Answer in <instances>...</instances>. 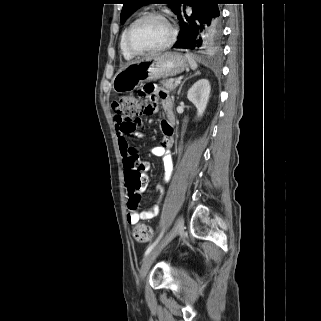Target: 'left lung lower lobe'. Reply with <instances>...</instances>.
<instances>
[{
  "mask_svg": "<svg viewBox=\"0 0 321 321\" xmlns=\"http://www.w3.org/2000/svg\"><path fill=\"white\" fill-rule=\"evenodd\" d=\"M192 14L181 8L177 12L180 24L178 40L174 48L191 49L201 53H217L222 40V16L218 4L222 0H188Z\"/></svg>",
  "mask_w": 321,
  "mask_h": 321,
  "instance_id": "0a47b994",
  "label": "left lung lower lobe"
}]
</instances>
